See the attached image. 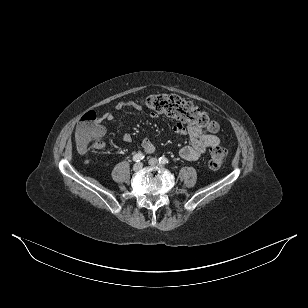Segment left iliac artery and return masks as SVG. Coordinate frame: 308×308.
<instances>
[{"label":"left iliac artery","mask_w":308,"mask_h":308,"mask_svg":"<svg viewBox=\"0 0 308 308\" xmlns=\"http://www.w3.org/2000/svg\"><path fill=\"white\" fill-rule=\"evenodd\" d=\"M159 163H161V164H168L169 160L166 157L163 156V157L159 158Z\"/></svg>","instance_id":"44dca946"}]
</instances>
